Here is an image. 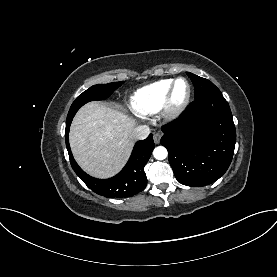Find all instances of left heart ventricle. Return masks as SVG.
<instances>
[{
  "label": "left heart ventricle",
  "mask_w": 277,
  "mask_h": 277,
  "mask_svg": "<svg viewBox=\"0 0 277 277\" xmlns=\"http://www.w3.org/2000/svg\"><path fill=\"white\" fill-rule=\"evenodd\" d=\"M187 92V86L184 82H179L176 87L175 100L180 101L184 98Z\"/></svg>",
  "instance_id": "left-heart-ventricle-1"
}]
</instances>
